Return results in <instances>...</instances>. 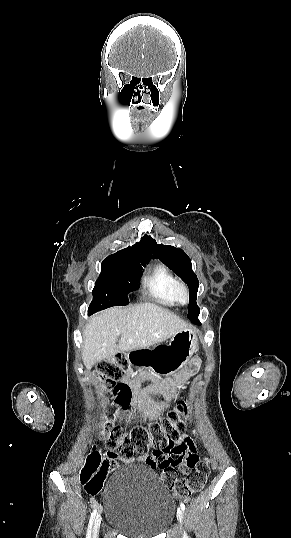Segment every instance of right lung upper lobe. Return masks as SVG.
<instances>
[{
	"label": "right lung upper lobe",
	"instance_id": "cb5924a9",
	"mask_svg": "<svg viewBox=\"0 0 291 538\" xmlns=\"http://www.w3.org/2000/svg\"><path fill=\"white\" fill-rule=\"evenodd\" d=\"M153 254V241L150 236L144 235L140 242L122 249L115 254L109 255L107 258H127L131 260H150ZM154 256V255H153Z\"/></svg>",
	"mask_w": 291,
	"mask_h": 538
}]
</instances>
